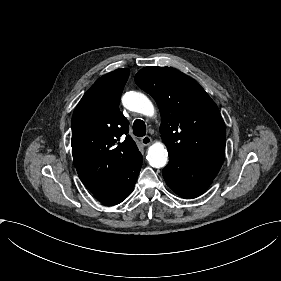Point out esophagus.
I'll return each instance as SVG.
<instances>
[{
  "instance_id": "obj_1",
  "label": "esophagus",
  "mask_w": 281,
  "mask_h": 281,
  "mask_svg": "<svg viewBox=\"0 0 281 281\" xmlns=\"http://www.w3.org/2000/svg\"><path fill=\"white\" fill-rule=\"evenodd\" d=\"M141 142L144 146H148V145L152 144V139L149 136H144L141 138Z\"/></svg>"
}]
</instances>
